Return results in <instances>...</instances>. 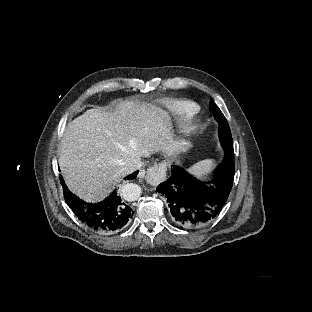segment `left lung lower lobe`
<instances>
[{"instance_id":"0a47b994","label":"left lung lower lobe","mask_w":312,"mask_h":312,"mask_svg":"<svg viewBox=\"0 0 312 312\" xmlns=\"http://www.w3.org/2000/svg\"><path fill=\"white\" fill-rule=\"evenodd\" d=\"M225 156L208 181H202L185 169L173 166L171 177L158 185L169 204L174 224L199 229L210 223L225 205L235 174L234 150L223 146Z\"/></svg>"}]
</instances>
